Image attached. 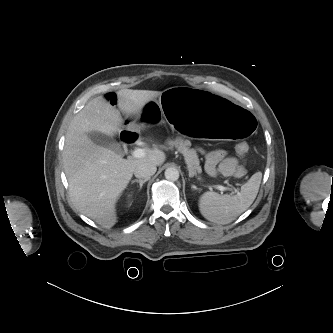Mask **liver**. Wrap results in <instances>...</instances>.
Segmentation results:
<instances>
[{"mask_svg":"<svg viewBox=\"0 0 333 333\" xmlns=\"http://www.w3.org/2000/svg\"><path fill=\"white\" fill-rule=\"evenodd\" d=\"M160 95L158 91L123 89L117 93L118 107L125 116L138 118L143 107ZM106 98L89 101L71 121L63 150V167L74 207L106 228L117 222L115 205L141 163L161 166L164 152L152 150L142 159H124L114 151L94 143L89 133L110 137L121 132L122 117Z\"/></svg>","mask_w":333,"mask_h":333,"instance_id":"6515ba94","label":"liver"}]
</instances>
